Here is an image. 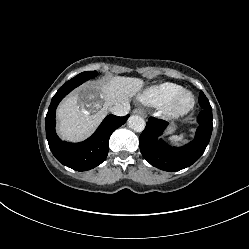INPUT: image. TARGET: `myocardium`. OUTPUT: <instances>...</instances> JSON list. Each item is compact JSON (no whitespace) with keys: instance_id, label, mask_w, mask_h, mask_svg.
Listing matches in <instances>:
<instances>
[{"instance_id":"f54148a6","label":"myocardium","mask_w":249,"mask_h":249,"mask_svg":"<svg viewBox=\"0 0 249 249\" xmlns=\"http://www.w3.org/2000/svg\"><path fill=\"white\" fill-rule=\"evenodd\" d=\"M194 105V95L190 91L182 90L165 105V115L169 118L182 117L188 114Z\"/></svg>"}]
</instances>
